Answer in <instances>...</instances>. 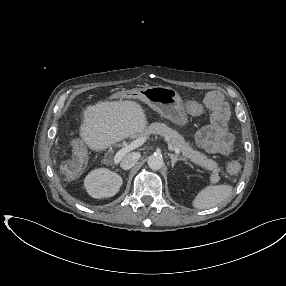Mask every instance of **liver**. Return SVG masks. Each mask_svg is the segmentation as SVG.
I'll use <instances>...</instances> for the list:
<instances>
[{"mask_svg":"<svg viewBox=\"0 0 286 286\" xmlns=\"http://www.w3.org/2000/svg\"><path fill=\"white\" fill-rule=\"evenodd\" d=\"M142 106L131 100L100 101L83 111L80 137L95 151H102L147 128Z\"/></svg>","mask_w":286,"mask_h":286,"instance_id":"liver-1","label":"liver"}]
</instances>
